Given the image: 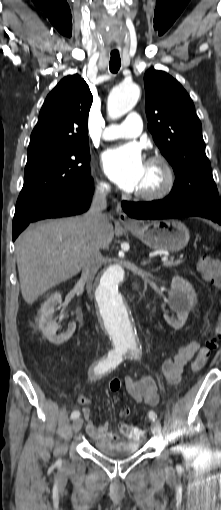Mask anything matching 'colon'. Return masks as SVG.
Returning <instances> with one entry per match:
<instances>
[{"label":"colon","mask_w":221,"mask_h":510,"mask_svg":"<svg viewBox=\"0 0 221 510\" xmlns=\"http://www.w3.org/2000/svg\"><path fill=\"white\" fill-rule=\"evenodd\" d=\"M198 267L204 277L211 282L216 288L221 289V268L217 262L211 259L207 255H202L198 259ZM219 335L221 336V328L219 329ZM215 347V339H208L198 350L196 357L194 358L191 369L193 372H199L206 362L208 361L212 350ZM121 387V382L118 378H112L109 382V388L112 392H118ZM130 414V410L125 407L120 411L122 417H127ZM129 433L133 438H139L141 436V430L138 428H129Z\"/></svg>","instance_id":"1"}]
</instances>
